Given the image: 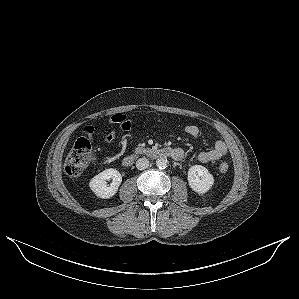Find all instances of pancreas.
Returning a JSON list of instances; mask_svg holds the SVG:
<instances>
[{"instance_id":"cf45deb5","label":"pancreas","mask_w":299,"mask_h":299,"mask_svg":"<svg viewBox=\"0 0 299 299\" xmlns=\"http://www.w3.org/2000/svg\"><path fill=\"white\" fill-rule=\"evenodd\" d=\"M146 151H147V149L144 148V147H137L135 149V153H143V152H146Z\"/></svg>"}]
</instances>
